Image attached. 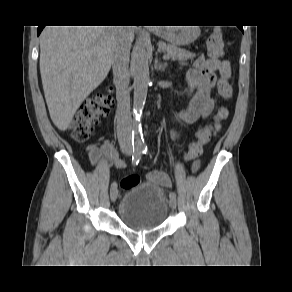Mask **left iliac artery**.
Returning <instances> with one entry per match:
<instances>
[{
	"instance_id": "left-iliac-artery-1",
	"label": "left iliac artery",
	"mask_w": 292,
	"mask_h": 292,
	"mask_svg": "<svg viewBox=\"0 0 292 292\" xmlns=\"http://www.w3.org/2000/svg\"><path fill=\"white\" fill-rule=\"evenodd\" d=\"M141 149H142V153H143V154H146V153H147V150H148V149H147V146H143ZM169 198H170V199H174V200H176V193L173 192V191L170 192V193H169Z\"/></svg>"
}]
</instances>
